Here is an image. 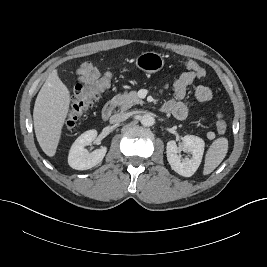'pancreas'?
<instances>
[{
  "label": "pancreas",
  "instance_id": "obj_1",
  "mask_svg": "<svg viewBox=\"0 0 267 267\" xmlns=\"http://www.w3.org/2000/svg\"><path fill=\"white\" fill-rule=\"evenodd\" d=\"M112 103L115 106L120 107L122 111L129 109L135 104H142L143 101L140 100L135 91L129 93L117 94L112 98Z\"/></svg>",
  "mask_w": 267,
  "mask_h": 267
}]
</instances>
